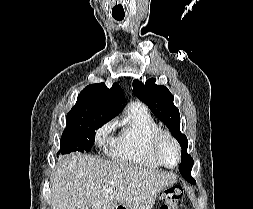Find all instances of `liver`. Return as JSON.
Wrapping results in <instances>:
<instances>
[{
    "label": "liver",
    "instance_id": "obj_1",
    "mask_svg": "<svg viewBox=\"0 0 253 209\" xmlns=\"http://www.w3.org/2000/svg\"><path fill=\"white\" fill-rule=\"evenodd\" d=\"M176 180L171 173L71 153L52 172V209H115L118 204L151 209L160 190Z\"/></svg>",
    "mask_w": 253,
    "mask_h": 209
}]
</instances>
